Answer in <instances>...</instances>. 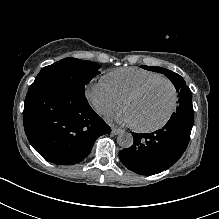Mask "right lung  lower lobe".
I'll return each instance as SVG.
<instances>
[{"instance_id": "obj_1", "label": "right lung lower lobe", "mask_w": 219, "mask_h": 219, "mask_svg": "<svg viewBox=\"0 0 219 219\" xmlns=\"http://www.w3.org/2000/svg\"><path fill=\"white\" fill-rule=\"evenodd\" d=\"M23 124L33 148L46 160L59 165L84 160L95 140L111 132L85 96L48 84L29 88Z\"/></svg>"}]
</instances>
